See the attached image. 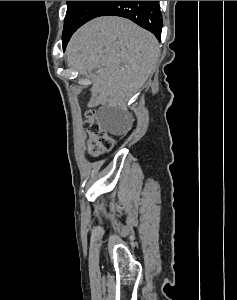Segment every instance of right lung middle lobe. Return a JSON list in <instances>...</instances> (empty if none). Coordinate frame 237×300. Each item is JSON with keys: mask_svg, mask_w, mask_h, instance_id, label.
I'll return each instance as SVG.
<instances>
[{"mask_svg": "<svg viewBox=\"0 0 237 300\" xmlns=\"http://www.w3.org/2000/svg\"><path fill=\"white\" fill-rule=\"evenodd\" d=\"M111 1H67L68 7L62 34L65 48L72 34L84 23L97 17Z\"/></svg>", "mask_w": 237, "mask_h": 300, "instance_id": "obj_1", "label": "right lung middle lobe"}]
</instances>
